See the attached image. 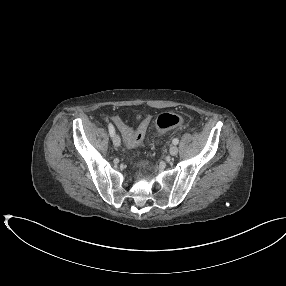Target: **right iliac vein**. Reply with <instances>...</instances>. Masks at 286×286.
I'll return each instance as SVG.
<instances>
[{
	"label": "right iliac vein",
	"instance_id": "right-iliac-vein-1",
	"mask_svg": "<svg viewBox=\"0 0 286 286\" xmlns=\"http://www.w3.org/2000/svg\"><path fill=\"white\" fill-rule=\"evenodd\" d=\"M113 144L115 147H119L121 145L120 137L117 134L113 136Z\"/></svg>",
	"mask_w": 286,
	"mask_h": 286
}]
</instances>
